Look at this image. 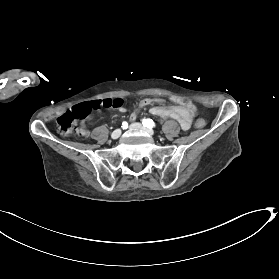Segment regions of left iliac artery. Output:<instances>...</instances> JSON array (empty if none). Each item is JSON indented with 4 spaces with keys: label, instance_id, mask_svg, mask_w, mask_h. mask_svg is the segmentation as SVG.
<instances>
[{
    "label": "left iliac artery",
    "instance_id": "44dca946",
    "mask_svg": "<svg viewBox=\"0 0 279 279\" xmlns=\"http://www.w3.org/2000/svg\"><path fill=\"white\" fill-rule=\"evenodd\" d=\"M142 123L145 127H148V128L155 127V123L151 119H142Z\"/></svg>",
    "mask_w": 279,
    "mask_h": 279
}]
</instances>
